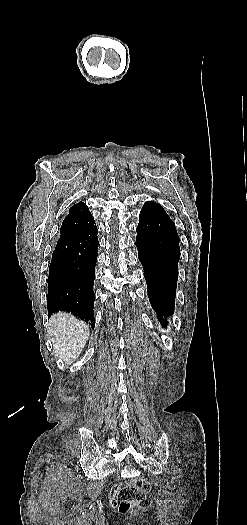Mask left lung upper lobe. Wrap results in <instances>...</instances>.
Masks as SVG:
<instances>
[{"instance_id":"obj_1","label":"left lung upper lobe","mask_w":247,"mask_h":525,"mask_svg":"<svg viewBox=\"0 0 247 525\" xmlns=\"http://www.w3.org/2000/svg\"><path fill=\"white\" fill-rule=\"evenodd\" d=\"M140 214L154 215L173 222L168 216V214L165 212L163 207L160 204L153 201L145 202Z\"/></svg>"}]
</instances>
